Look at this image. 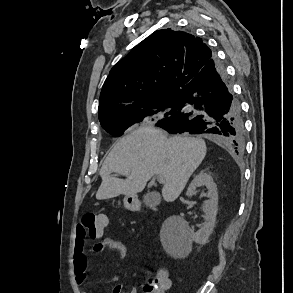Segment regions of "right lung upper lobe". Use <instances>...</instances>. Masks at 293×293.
I'll return each instance as SVG.
<instances>
[{"label": "right lung upper lobe", "mask_w": 293, "mask_h": 293, "mask_svg": "<svg viewBox=\"0 0 293 293\" xmlns=\"http://www.w3.org/2000/svg\"><path fill=\"white\" fill-rule=\"evenodd\" d=\"M214 57L198 37L170 28L155 31L111 69L101 90L99 119L176 99Z\"/></svg>", "instance_id": "1"}]
</instances>
